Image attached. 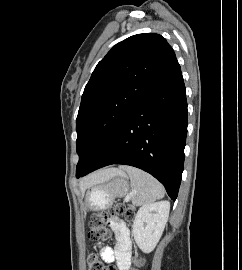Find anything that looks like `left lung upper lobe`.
Returning <instances> with one entry per match:
<instances>
[{"label":"left lung upper lobe","mask_w":242,"mask_h":270,"mask_svg":"<svg viewBox=\"0 0 242 270\" xmlns=\"http://www.w3.org/2000/svg\"><path fill=\"white\" fill-rule=\"evenodd\" d=\"M176 60L166 39L150 33L119 42L97 64L76 119V177L91 166L122 122Z\"/></svg>","instance_id":"5c2ea615"}]
</instances>
